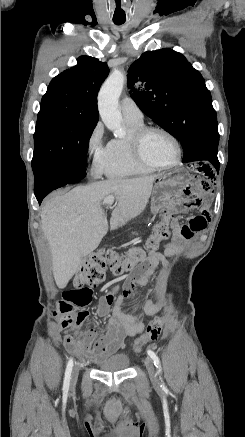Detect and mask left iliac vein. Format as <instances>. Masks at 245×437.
Returning a JSON list of instances; mask_svg holds the SVG:
<instances>
[{
	"label": "left iliac vein",
	"instance_id": "4c4485c4",
	"mask_svg": "<svg viewBox=\"0 0 245 437\" xmlns=\"http://www.w3.org/2000/svg\"><path fill=\"white\" fill-rule=\"evenodd\" d=\"M145 365H146L149 377L151 379V382L153 383V385L157 386L158 385V378H157V374H156L152 359L147 357L145 360Z\"/></svg>",
	"mask_w": 245,
	"mask_h": 437
}]
</instances>
